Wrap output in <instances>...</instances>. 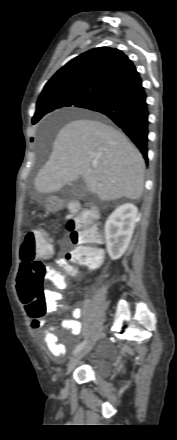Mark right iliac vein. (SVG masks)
<instances>
[{
	"instance_id": "63e3f726",
	"label": "right iliac vein",
	"mask_w": 177,
	"mask_h": 440,
	"mask_svg": "<svg viewBox=\"0 0 177 440\" xmlns=\"http://www.w3.org/2000/svg\"><path fill=\"white\" fill-rule=\"evenodd\" d=\"M102 335V327L96 332V334L86 343V345L78 352L76 353L69 361L67 365V375L72 371V369L78 364V362L86 356L94 347L98 339ZM66 387L69 385V380L66 379L65 381Z\"/></svg>"
}]
</instances>
